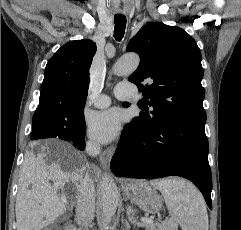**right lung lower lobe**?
Here are the masks:
<instances>
[{"instance_id": "1", "label": "right lung lower lobe", "mask_w": 241, "mask_h": 230, "mask_svg": "<svg viewBox=\"0 0 241 230\" xmlns=\"http://www.w3.org/2000/svg\"><path fill=\"white\" fill-rule=\"evenodd\" d=\"M40 114H42V113H39V114L35 113L34 115H40ZM53 135L55 136V135H58V134L54 133ZM62 140L71 142V144H73L79 150H84L85 149L84 138H82V139H75L73 137H71V138L65 137V139H62Z\"/></svg>"}]
</instances>
